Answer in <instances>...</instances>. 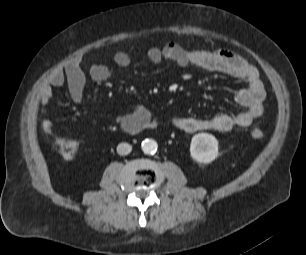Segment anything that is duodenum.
I'll list each match as a JSON object with an SVG mask.
<instances>
[{"instance_id": "duodenum-1", "label": "duodenum", "mask_w": 306, "mask_h": 255, "mask_svg": "<svg viewBox=\"0 0 306 255\" xmlns=\"http://www.w3.org/2000/svg\"><path fill=\"white\" fill-rule=\"evenodd\" d=\"M156 127L155 123L153 122H148V123H144V124H137L132 126L128 131L130 133H134L137 132L139 129L141 128H148V129H154Z\"/></svg>"}]
</instances>
